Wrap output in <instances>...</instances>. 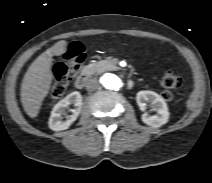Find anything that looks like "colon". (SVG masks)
Listing matches in <instances>:
<instances>
[{
    "label": "colon",
    "mask_w": 212,
    "mask_h": 183,
    "mask_svg": "<svg viewBox=\"0 0 212 183\" xmlns=\"http://www.w3.org/2000/svg\"><path fill=\"white\" fill-rule=\"evenodd\" d=\"M84 60V49L78 42L71 43L63 60L58 62L53 69V82L50 95L53 100L61 98L67 90L70 80L77 74ZM183 80L180 75L172 70H166L161 77V85L164 88L162 98L170 101L173 98L171 90L181 87Z\"/></svg>",
    "instance_id": "colon-1"
}]
</instances>
